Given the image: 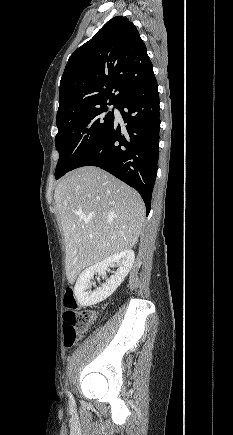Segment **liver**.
<instances>
[{
  "mask_svg": "<svg viewBox=\"0 0 233 435\" xmlns=\"http://www.w3.org/2000/svg\"><path fill=\"white\" fill-rule=\"evenodd\" d=\"M54 199L69 283L86 267L136 244L145 220L144 202L108 172L95 166L73 170L55 188Z\"/></svg>",
  "mask_w": 233,
  "mask_h": 435,
  "instance_id": "6515ba94",
  "label": "liver"
}]
</instances>
